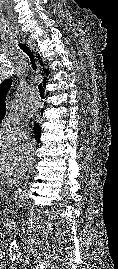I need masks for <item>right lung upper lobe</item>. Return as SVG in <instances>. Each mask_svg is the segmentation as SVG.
Masks as SVG:
<instances>
[{
  "label": "right lung upper lobe",
  "mask_w": 118,
  "mask_h": 269,
  "mask_svg": "<svg viewBox=\"0 0 118 269\" xmlns=\"http://www.w3.org/2000/svg\"><path fill=\"white\" fill-rule=\"evenodd\" d=\"M38 58H40L39 55H38ZM39 62L41 63L42 66H44L42 63V60H39ZM44 72L47 75L48 70L46 69ZM45 80H46V78H44V85L46 83ZM11 84H12L11 79H7L0 84V108L5 106V103H4L5 97H6V94L8 93V89L11 87ZM35 128H40L39 124H36Z\"/></svg>",
  "instance_id": "1"
}]
</instances>
